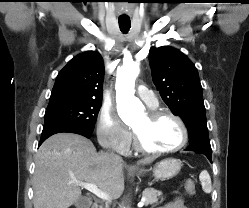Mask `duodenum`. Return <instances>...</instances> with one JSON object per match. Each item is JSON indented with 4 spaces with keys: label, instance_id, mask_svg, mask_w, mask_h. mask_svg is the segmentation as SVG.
<instances>
[{
    "label": "duodenum",
    "instance_id": "410a0bca",
    "mask_svg": "<svg viewBox=\"0 0 249 208\" xmlns=\"http://www.w3.org/2000/svg\"><path fill=\"white\" fill-rule=\"evenodd\" d=\"M90 208H99V207H98V204H97L96 202H94V203L90 206Z\"/></svg>",
    "mask_w": 249,
    "mask_h": 208
}]
</instances>
